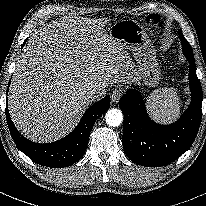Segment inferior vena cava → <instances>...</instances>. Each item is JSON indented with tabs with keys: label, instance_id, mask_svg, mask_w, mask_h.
Returning <instances> with one entry per match:
<instances>
[{
	"label": "inferior vena cava",
	"instance_id": "obj_1",
	"mask_svg": "<svg viewBox=\"0 0 206 206\" xmlns=\"http://www.w3.org/2000/svg\"><path fill=\"white\" fill-rule=\"evenodd\" d=\"M106 94V91L104 89H95V90H91L89 93V99L91 101H96L101 99L104 95Z\"/></svg>",
	"mask_w": 206,
	"mask_h": 206
}]
</instances>
